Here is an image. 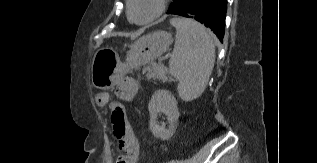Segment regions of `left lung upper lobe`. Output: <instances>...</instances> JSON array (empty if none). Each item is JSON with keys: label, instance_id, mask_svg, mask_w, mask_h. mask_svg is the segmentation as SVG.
I'll list each match as a JSON object with an SVG mask.
<instances>
[{"label": "left lung upper lobe", "instance_id": "left-lung-upper-lobe-1", "mask_svg": "<svg viewBox=\"0 0 317 163\" xmlns=\"http://www.w3.org/2000/svg\"><path fill=\"white\" fill-rule=\"evenodd\" d=\"M180 0H173V3H171L169 10L167 13L172 12L173 10H175L179 4Z\"/></svg>", "mask_w": 317, "mask_h": 163}]
</instances>
